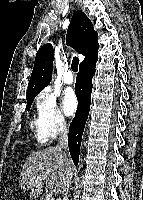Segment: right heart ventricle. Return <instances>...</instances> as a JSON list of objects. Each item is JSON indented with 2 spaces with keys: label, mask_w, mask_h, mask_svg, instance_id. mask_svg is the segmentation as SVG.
<instances>
[{
  "label": "right heart ventricle",
  "mask_w": 143,
  "mask_h": 200,
  "mask_svg": "<svg viewBox=\"0 0 143 200\" xmlns=\"http://www.w3.org/2000/svg\"><path fill=\"white\" fill-rule=\"evenodd\" d=\"M31 126L35 132L36 139L38 140V142L41 144H45L49 139L44 135L42 131L39 117L32 121Z\"/></svg>",
  "instance_id": "1"
}]
</instances>
